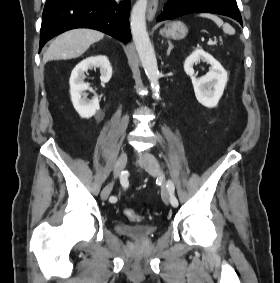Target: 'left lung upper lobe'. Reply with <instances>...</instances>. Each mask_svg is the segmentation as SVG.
<instances>
[{
  "instance_id": "left-lung-upper-lobe-1",
  "label": "left lung upper lobe",
  "mask_w": 280,
  "mask_h": 283,
  "mask_svg": "<svg viewBox=\"0 0 280 283\" xmlns=\"http://www.w3.org/2000/svg\"><path fill=\"white\" fill-rule=\"evenodd\" d=\"M221 1L226 2V3H229V4H231L232 6L237 7L236 0H221Z\"/></svg>"
}]
</instances>
